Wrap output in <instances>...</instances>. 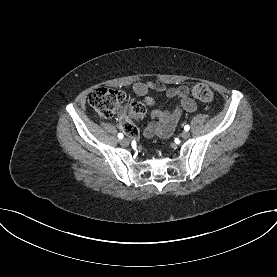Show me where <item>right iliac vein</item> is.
Returning <instances> with one entry per match:
<instances>
[{"label":"right iliac vein","mask_w":277,"mask_h":277,"mask_svg":"<svg viewBox=\"0 0 277 277\" xmlns=\"http://www.w3.org/2000/svg\"><path fill=\"white\" fill-rule=\"evenodd\" d=\"M120 144L122 146L126 147V146H128L130 144V141L127 138H123V139L120 140Z\"/></svg>","instance_id":"63e3f726"}]
</instances>
